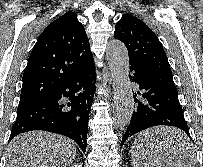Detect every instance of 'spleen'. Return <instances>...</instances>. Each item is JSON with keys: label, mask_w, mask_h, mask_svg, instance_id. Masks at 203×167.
<instances>
[{"label": "spleen", "mask_w": 203, "mask_h": 167, "mask_svg": "<svg viewBox=\"0 0 203 167\" xmlns=\"http://www.w3.org/2000/svg\"><path fill=\"white\" fill-rule=\"evenodd\" d=\"M181 140L183 144H186L188 146L187 149H190L189 139L184 136ZM131 153L134 167H165V164H162L160 160H157L154 154H152L149 149L143 146L140 139H138V141L134 143ZM186 159L187 160L185 161V164H187L189 167H194L193 165L195 164V159L193 154L187 153ZM178 165L179 167H182L181 163H179Z\"/></svg>", "instance_id": "1"}]
</instances>
